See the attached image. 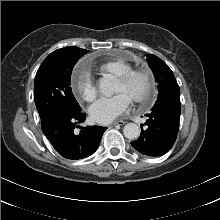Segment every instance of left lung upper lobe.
<instances>
[{
  "instance_id": "1",
  "label": "left lung upper lobe",
  "mask_w": 220,
  "mask_h": 220,
  "mask_svg": "<svg viewBox=\"0 0 220 220\" xmlns=\"http://www.w3.org/2000/svg\"><path fill=\"white\" fill-rule=\"evenodd\" d=\"M148 64L152 69L156 82H158L157 101L170 97H180V89L177 81L165 62L155 55L148 54Z\"/></svg>"
}]
</instances>
